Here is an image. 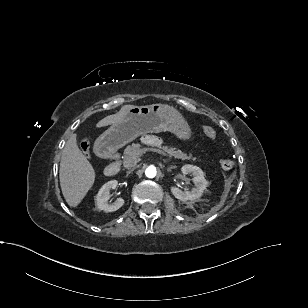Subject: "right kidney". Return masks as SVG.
<instances>
[{
  "instance_id": "right-kidney-1",
  "label": "right kidney",
  "mask_w": 308,
  "mask_h": 308,
  "mask_svg": "<svg viewBox=\"0 0 308 308\" xmlns=\"http://www.w3.org/2000/svg\"><path fill=\"white\" fill-rule=\"evenodd\" d=\"M117 185V180H111L100 188L98 194L96 195V206L99 210H103L105 212H114L124 205L123 198H117V200L113 203L108 202L110 198V190L116 189Z\"/></svg>"
}]
</instances>
